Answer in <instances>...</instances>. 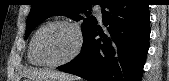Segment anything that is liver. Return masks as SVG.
I'll use <instances>...</instances> for the list:
<instances>
[{
  "instance_id": "obj_1",
  "label": "liver",
  "mask_w": 169,
  "mask_h": 81,
  "mask_svg": "<svg viewBox=\"0 0 169 81\" xmlns=\"http://www.w3.org/2000/svg\"><path fill=\"white\" fill-rule=\"evenodd\" d=\"M31 81H48V80H66L73 81V78L65 73L49 70L29 69L23 72Z\"/></svg>"
}]
</instances>
